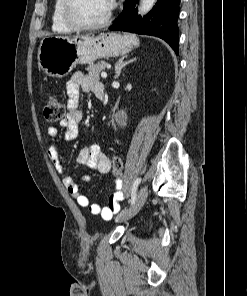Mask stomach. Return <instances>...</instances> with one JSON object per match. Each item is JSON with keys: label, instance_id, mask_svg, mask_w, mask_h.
Wrapping results in <instances>:
<instances>
[{"label": "stomach", "instance_id": "1", "mask_svg": "<svg viewBox=\"0 0 247 296\" xmlns=\"http://www.w3.org/2000/svg\"><path fill=\"white\" fill-rule=\"evenodd\" d=\"M139 46L134 35L102 33L98 36H58L43 38L38 48L39 67L49 76L62 78L77 64H90L100 58L117 57Z\"/></svg>", "mask_w": 247, "mask_h": 296}]
</instances>
